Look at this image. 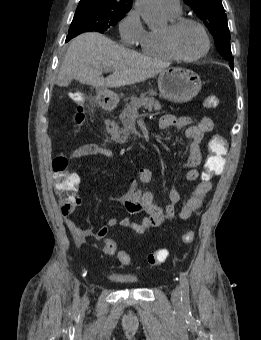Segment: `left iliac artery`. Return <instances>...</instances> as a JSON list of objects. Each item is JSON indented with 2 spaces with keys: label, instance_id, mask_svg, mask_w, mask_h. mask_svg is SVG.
Masks as SVG:
<instances>
[{
  "label": "left iliac artery",
  "instance_id": "left-iliac-artery-1",
  "mask_svg": "<svg viewBox=\"0 0 261 340\" xmlns=\"http://www.w3.org/2000/svg\"><path fill=\"white\" fill-rule=\"evenodd\" d=\"M181 301L188 306L189 301V281L185 273H180Z\"/></svg>",
  "mask_w": 261,
  "mask_h": 340
}]
</instances>
